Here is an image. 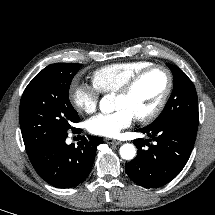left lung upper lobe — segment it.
<instances>
[{
	"label": "left lung upper lobe",
	"instance_id": "obj_1",
	"mask_svg": "<svg viewBox=\"0 0 215 215\" xmlns=\"http://www.w3.org/2000/svg\"><path fill=\"white\" fill-rule=\"evenodd\" d=\"M173 73L174 87L163 112L150 125L179 122L198 128V98L188 76L178 67L167 64Z\"/></svg>",
	"mask_w": 215,
	"mask_h": 215
}]
</instances>
